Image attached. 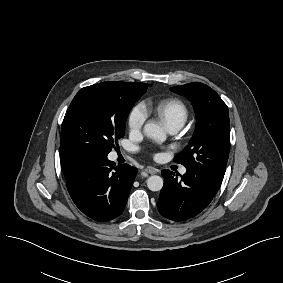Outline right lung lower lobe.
Instances as JSON below:
<instances>
[{"label":"right lung lower lobe","instance_id":"98d812e1","mask_svg":"<svg viewBox=\"0 0 283 283\" xmlns=\"http://www.w3.org/2000/svg\"><path fill=\"white\" fill-rule=\"evenodd\" d=\"M137 169L127 164L115 167L107 156L83 160L66 178L76 206L96 221H109L124 210Z\"/></svg>","mask_w":283,"mask_h":283}]
</instances>
